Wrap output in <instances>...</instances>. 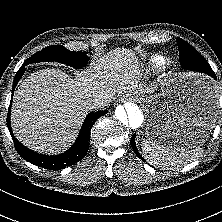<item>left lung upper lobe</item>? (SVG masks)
I'll return each instance as SVG.
<instances>
[{"label":"left lung upper lobe","mask_w":222,"mask_h":222,"mask_svg":"<svg viewBox=\"0 0 222 222\" xmlns=\"http://www.w3.org/2000/svg\"><path fill=\"white\" fill-rule=\"evenodd\" d=\"M179 47V58L181 62V67L183 66L184 61L191 62L196 66H200L203 72L213 71L208 64V62L201 56V54L196 51L190 44L181 38L177 39Z\"/></svg>","instance_id":"left-lung-upper-lobe-1"}]
</instances>
